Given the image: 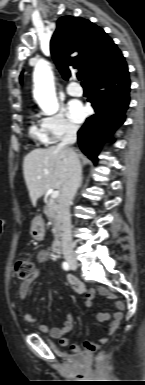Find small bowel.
Wrapping results in <instances>:
<instances>
[{
  "instance_id": "1",
  "label": "small bowel",
  "mask_w": 145,
  "mask_h": 385,
  "mask_svg": "<svg viewBox=\"0 0 145 385\" xmlns=\"http://www.w3.org/2000/svg\"><path fill=\"white\" fill-rule=\"evenodd\" d=\"M50 258H51V253L48 250H40L37 253V262L40 265L46 264L50 260ZM40 273H41L40 269H36L29 281L22 282L19 285L18 298L21 301L25 300V298L28 295L32 281L34 279H36L37 277H39ZM67 281L72 286V288L75 292L85 295V297H86L85 305L87 308H89L91 306V301L97 293L100 294L101 296L107 298V299L115 300L116 311L113 314H110L107 312L91 313V316L94 317L96 320H98L100 322H106V321L109 322L108 329H107L106 333L100 338L98 344H93V343H89V342L85 343L86 346L88 344H92L95 346V348H98L100 345H102L108 341V339L112 335L113 331L116 329V327L120 323L122 316H123L122 311L125 308V304L122 300H120L118 298V296L115 293L111 292L109 289H107L105 287H101L97 291L94 289H88L86 287V285H84L74 275H71V274L67 275ZM24 319L27 322L36 323L38 325V328L40 331L49 334L53 338L59 339L60 344L62 346H67L69 344L68 340L65 339L64 336L66 334H68L73 328L74 321H75V315L74 314H72V313L67 314L65 322H64L63 326L60 328H52L46 324L39 323L37 318H35L30 313H26L24 315ZM71 349L74 352L80 351V347L76 344H73L71 346Z\"/></svg>"
}]
</instances>
